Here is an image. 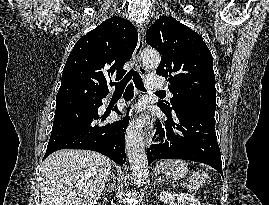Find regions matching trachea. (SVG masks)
<instances>
[{
    "label": "trachea",
    "mask_w": 269,
    "mask_h": 205,
    "mask_svg": "<svg viewBox=\"0 0 269 205\" xmlns=\"http://www.w3.org/2000/svg\"><path fill=\"white\" fill-rule=\"evenodd\" d=\"M132 77H133V81L137 89L140 91H146L141 76L135 70L129 71L127 75L120 82L111 83L110 85L115 86V93L123 92L127 83L131 80ZM156 94L165 95L164 92H156Z\"/></svg>",
    "instance_id": "1"
}]
</instances>
